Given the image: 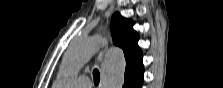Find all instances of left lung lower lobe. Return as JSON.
<instances>
[{
	"label": "left lung lower lobe",
	"instance_id": "obj_1",
	"mask_svg": "<svg viewBox=\"0 0 223 88\" xmlns=\"http://www.w3.org/2000/svg\"><path fill=\"white\" fill-rule=\"evenodd\" d=\"M143 65L126 68L123 88H141L143 82Z\"/></svg>",
	"mask_w": 223,
	"mask_h": 88
}]
</instances>
